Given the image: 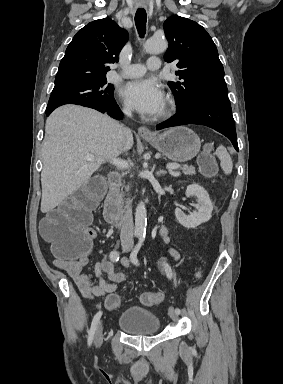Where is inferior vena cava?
I'll use <instances>...</instances> for the list:
<instances>
[{
	"instance_id": "obj_1",
	"label": "inferior vena cava",
	"mask_w": 283,
	"mask_h": 384,
	"mask_svg": "<svg viewBox=\"0 0 283 384\" xmlns=\"http://www.w3.org/2000/svg\"><path fill=\"white\" fill-rule=\"evenodd\" d=\"M123 112L124 114H126V116H132V108H129V106H125V108H123ZM128 132H130L128 128H123V126H120L117 134V142H120V144H126V136ZM131 202L132 200H130V198H127L125 212L123 216V224L120 232V240H121L122 248H133L134 246L133 216H132Z\"/></svg>"
}]
</instances>
